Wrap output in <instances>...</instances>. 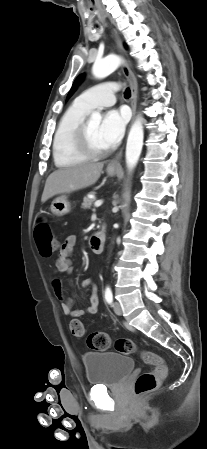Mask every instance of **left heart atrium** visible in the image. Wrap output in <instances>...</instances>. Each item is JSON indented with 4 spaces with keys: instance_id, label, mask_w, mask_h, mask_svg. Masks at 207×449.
I'll return each mask as SVG.
<instances>
[{
    "instance_id": "left-heart-atrium-1",
    "label": "left heart atrium",
    "mask_w": 207,
    "mask_h": 449,
    "mask_svg": "<svg viewBox=\"0 0 207 449\" xmlns=\"http://www.w3.org/2000/svg\"><path fill=\"white\" fill-rule=\"evenodd\" d=\"M128 114L124 109L107 112L100 124L99 134L108 147L116 145L122 138L127 122Z\"/></svg>"
}]
</instances>
